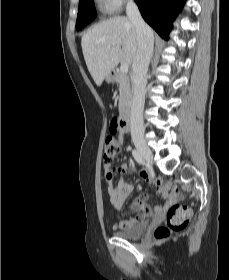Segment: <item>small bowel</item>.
Segmentation results:
<instances>
[{
	"instance_id": "small-bowel-1",
	"label": "small bowel",
	"mask_w": 229,
	"mask_h": 280,
	"mask_svg": "<svg viewBox=\"0 0 229 280\" xmlns=\"http://www.w3.org/2000/svg\"><path fill=\"white\" fill-rule=\"evenodd\" d=\"M127 133L126 130H122L119 128L117 130V140L119 143L123 142V137ZM128 170V164L125 162L120 163L116 169L115 172L119 174L121 177L127 172ZM141 176L143 179L148 180L149 175L145 170L141 171ZM107 190L110 196V201L115 209L120 210L123 208L125 202L132 194L134 187L131 183H125L121 179L117 185H113L111 180H108V186ZM157 193L165 199L164 206H157L154 208L153 212L150 211V208L148 204L145 202L146 195H143L140 199L136 200L132 205V210L134 212H144L146 214H153L154 216L161 217L166 212L169 203L173 202L175 200L174 197H170L171 189L169 186H163L159 185L157 187ZM139 220H143V217L137 216L133 218L126 219L121 222H117L113 225V230H123L132 227L135 223H137Z\"/></svg>"
}]
</instances>
